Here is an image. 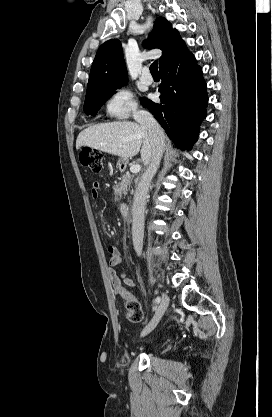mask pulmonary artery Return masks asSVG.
<instances>
[{"label": "pulmonary artery", "mask_w": 272, "mask_h": 417, "mask_svg": "<svg viewBox=\"0 0 272 417\" xmlns=\"http://www.w3.org/2000/svg\"><path fill=\"white\" fill-rule=\"evenodd\" d=\"M140 79H141V81H142L144 84H147V85L152 84V82H153V78H152V76L149 74V72H148V70H147V69L143 70V72H142V75H141Z\"/></svg>", "instance_id": "obj_1"}]
</instances>
